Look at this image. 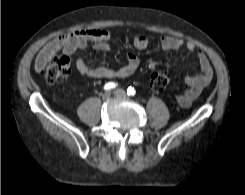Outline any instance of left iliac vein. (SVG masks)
Listing matches in <instances>:
<instances>
[{
    "label": "left iliac vein",
    "instance_id": "4c4485c4",
    "mask_svg": "<svg viewBox=\"0 0 245 195\" xmlns=\"http://www.w3.org/2000/svg\"><path fill=\"white\" fill-rule=\"evenodd\" d=\"M113 93L114 95L121 96V97L126 95V92L122 89H116Z\"/></svg>",
    "mask_w": 245,
    "mask_h": 195
}]
</instances>
